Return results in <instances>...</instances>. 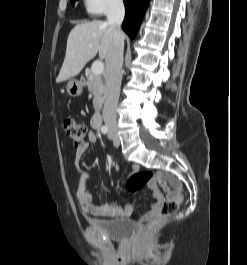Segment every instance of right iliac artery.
Masks as SVG:
<instances>
[{
    "label": "right iliac artery",
    "mask_w": 247,
    "mask_h": 265,
    "mask_svg": "<svg viewBox=\"0 0 247 265\" xmlns=\"http://www.w3.org/2000/svg\"><path fill=\"white\" fill-rule=\"evenodd\" d=\"M101 131H102V133H107L108 132V128L106 127V126H102L101 127Z\"/></svg>",
    "instance_id": "82829eb1"
}]
</instances>
